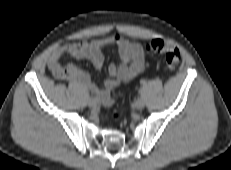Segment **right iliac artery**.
Segmentation results:
<instances>
[{"mask_svg":"<svg viewBox=\"0 0 231 170\" xmlns=\"http://www.w3.org/2000/svg\"><path fill=\"white\" fill-rule=\"evenodd\" d=\"M95 100L99 101L97 98H94Z\"/></svg>","mask_w":231,"mask_h":170,"instance_id":"82829eb1","label":"right iliac artery"}]
</instances>
